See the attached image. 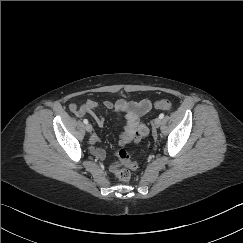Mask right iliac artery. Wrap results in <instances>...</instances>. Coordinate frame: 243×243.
Returning a JSON list of instances; mask_svg holds the SVG:
<instances>
[{"mask_svg":"<svg viewBox=\"0 0 243 243\" xmlns=\"http://www.w3.org/2000/svg\"><path fill=\"white\" fill-rule=\"evenodd\" d=\"M83 122H84V124H88V120L87 119H84Z\"/></svg>","mask_w":243,"mask_h":243,"instance_id":"right-iliac-artery-1","label":"right iliac artery"}]
</instances>
